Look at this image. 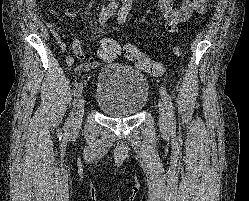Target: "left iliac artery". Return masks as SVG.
<instances>
[{
	"mask_svg": "<svg viewBox=\"0 0 249 201\" xmlns=\"http://www.w3.org/2000/svg\"><path fill=\"white\" fill-rule=\"evenodd\" d=\"M131 7H132L131 0H125V2L123 3L122 7L120 8L118 12L119 23L125 22L126 17L131 10ZM161 96L166 106L170 128L172 131H174L175 130V116H174L173 103L165 87H161Z\"/></svg>",
	"mask_w": 249,
	"mask_h": 201,
	"instance_id": "1",
	"label": "left iliac artery"
}]
</instances>
